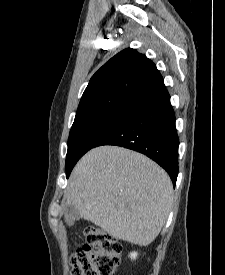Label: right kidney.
<instances>
[{"label": "right kidney", "mask_w": 225, "mask_h": 275, "mask_svg": "<svg viewBox=\"0 0 225 275\" xmlns=\"http://www.w3.org/2000/svg\"><path fill=\"white\" fill-rule=\"evenodd\" d=\"M137 255H138L137 252H132V253H130V258L135 260L137 258Z\"/></svg>", "instance_id": "ca27d5eb"}]
</instances>
